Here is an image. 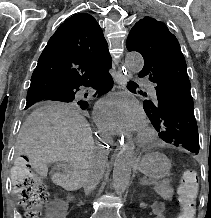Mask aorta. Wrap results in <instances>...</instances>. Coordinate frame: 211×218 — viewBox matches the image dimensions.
Wrapping results in <instances>:
<instances>
[{"label": "aorta", "mask_w": 211, "mask_h": 218, "mask_svg": "<svg viewBox=\"0 0 211 218\" xmlns=\"http://www.w3.org/2000/svg\"><path fill=\"white\" fill-rule=\"evenodd\" d=\"M125 65L131 72L138 73L143 69V57L136 52L128 53ZM135 145L133 141L127 142L118 152L113 168V187L117 193H124L130 185L131 170L134 161Z\"/></svg>", "instance_id": "1"}]
</instances>
